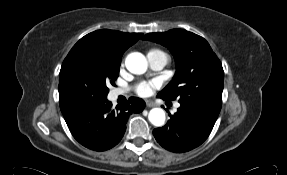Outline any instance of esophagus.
<instances>
[{
	"label": "esophagus",
	"instance_id": "obj_1",
	"mask_svg": "<svg viewBox=\"0 0 287 175\" xmlns=\"http://www.w3.org/2000/svg\"><path fill=\"white\" fill-rule=\"evenodd\" d=\"M145 102H146L147 107H154L155 106L154 102L151 100H146Z\"/></svg>",
	"mask_w": 287,
	"mask_h": 175
}]
</instances>
